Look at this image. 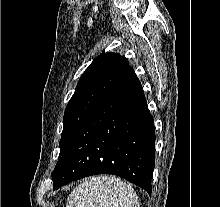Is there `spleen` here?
Wrapping results in <instances>:
<instances>
[{"mask_svg":"<svg viewBox=\"0 0 220 207\" xmlns=\"http://www.w3.org/2000/svg\"><path fill=\"white\" fill-rule=\"evenodd\" d=\"M66 207H140L134 189L114 176L85 180L68 197Z\"/></svg>","mask_w":220,"mask_h":207,"instance_id":"1","label":"spleen"}]
</instances>
